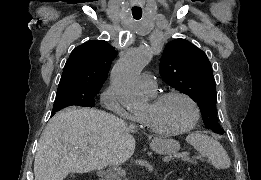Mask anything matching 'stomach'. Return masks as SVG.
<instances>
[{
    "mask_svg": "<svg viewBox=\"0 0 261 180\" xmlns=\"http://www.w3.org/2000/svg\"><path fill=\"white\" fill-rule=\"evenodd\" d=\"M151 149L161 155H172L179 151L180 144L174 139L157 138L151 144Z\"/></svg>",
    "mask_w": 261,
    "mask_h": 180,
    "instance_id": "obj_1",
    "label": "stomach"
}]
</instances>
